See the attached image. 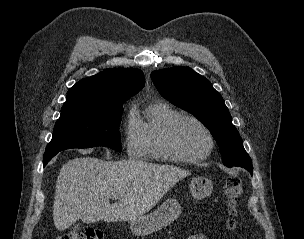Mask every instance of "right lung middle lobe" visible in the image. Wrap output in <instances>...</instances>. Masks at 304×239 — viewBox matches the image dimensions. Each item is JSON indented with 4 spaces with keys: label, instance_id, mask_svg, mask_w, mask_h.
Returning <instances> with one entry per match:
<instances>
[{
    "label": "right lung middle lobe",
    "instance_id": "obj_1",
    "mask_svg": "<svg viewBox=\"0 0 304 239\" xmlns=\"http://www.w3.org/2000/svg\"><path fill=\"white\" fill-rule=\"evenodd\" d=\"M122 106L62 112L45 153L70 148L106 146L121 152L118 127Z\"/></svg>",
    "mask_w": 304,
    "mask_h": 239
}]
</instances>
